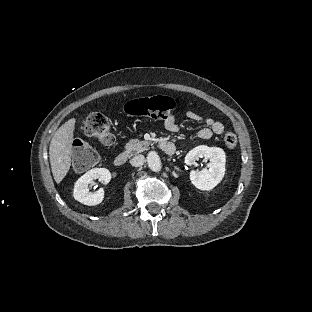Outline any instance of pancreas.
<instances>
[{"label":"pancreas","instance_id":"obj_1","mask_svg":"<svg viewBox=\"0 0 312 312\" xmlns=\"http://www.w3.org/2000/svg\"><path fill=\"white\" fill-rule=\"evenodd\" d=\"M150 145L149 141H140L138 139H131L125 146L126 153L129 156L136 155L147 149Z\"/></svg>","mask_w":312,"mask_h":312}]
</instances>
